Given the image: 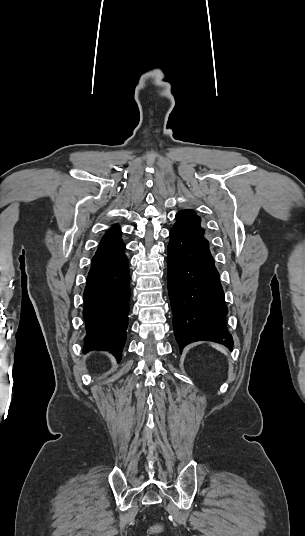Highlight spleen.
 Returning a JSON list of instances; mask_svg holds the SVG:
<instances>
[{
  "label": "spleen",
  "mask_w": 305,
  "mask_h": 536,
  "mask_svg": "<svg viewBox=\"0 0 305 536\" xmlns=\"http://www.w3.org/2000/svg\"><path fill=\"white\" fill-rule=\"evenodd\" d=\"M213 348H216V350H220V352H223V354H226L224 348L222 346H218V344H212Z\"/></svg>",
  "instance_id": "1"
}]
</instances>
